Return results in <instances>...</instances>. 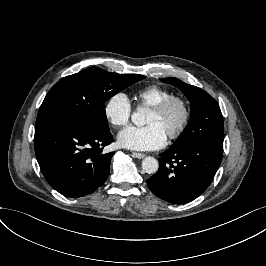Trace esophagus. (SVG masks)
<instances>
[{"label":"esophagus","mask_w":266,"mask_h":266,"mask_svg":"<svg viewBox=\"0 0 266 266\" xmlns=\"http://www.w3.org/2000/svg\"><path fill=\"white\" fill-rule=\"evenodd\" d=\"M133 156L137 159H143L145 157L144 153H133Z\"/></svg>","instance_id":"34e87169"}]
</instances>
